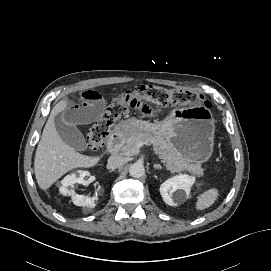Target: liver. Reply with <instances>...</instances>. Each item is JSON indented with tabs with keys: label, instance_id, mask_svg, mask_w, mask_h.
Listing matches in <instances>:
<instances>
[{
	"label": "liver",
	"instance_id": "6515ba94",
	"mask_svg": "<svg viewBox=\"0 0 271 271\" xmlns=\"http://www.w3.org/2000/svg\"><path fill=\"white\" fill-rule=\"evenodd\" d=\"M65 102L67 101L61 100L52 109L37 146L34 170L42 190H47L68 171L93 167L101 160L99 156L91 157L72 151L62 143L56 130L55 117Z\"/></svg>",
	"mask_w": 271,
	"mask_h": 271
}]
</instances>
